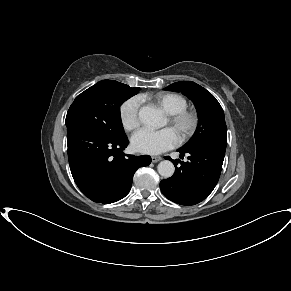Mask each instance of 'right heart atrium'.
<instances>
[{
	"label": "right heart atrium",
	"instance_id": "obj_1",
	"mask_svg": "<svg viewBox=\"0 0 291 291\" xmlns=\"http://www.w3.org/2000/svg\"><path fill=\"white\" fill-rule=\"evenodd\" d=\"M141 100L133 96L125 100L119 108V119L123 128L127 131H133L139 126V110Z\"/></svg>",
	"mask_w": 291,
	"mask_h": 291
}]
</instances>
